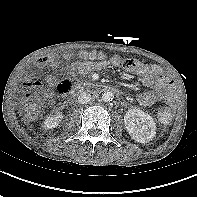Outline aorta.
I'll list each match as a JSON object with an SVG mask.
<instances>
[{
	"label": "aorta",
	"instance_id": "762f6f07",
	"mask_svg": "<svg viewBox=\"0 0 197 197\" xmlns=\"http://www.w3.org/2000/svg\"><path fill=\"white\" fill-rule=\"evenodd\" d=\"M113 98H114V95L110 91L104 92L102 94V100L105 101V102H110V101L113 100Z\"/></svg>",
	"mask_w": 197,
	"mask_h": 197
}]
</instances>
